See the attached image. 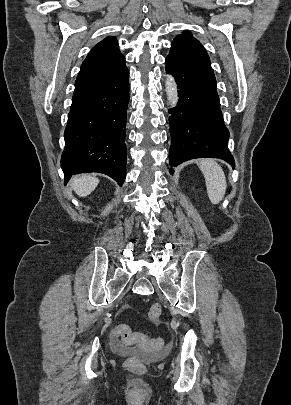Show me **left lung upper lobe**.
Masks as SVG:
<instances>
[{
    "label": "left lung upper lobe",
    "instance_id": "5c2ea615",
    "mask_svg": "<svg viewBox=\"0 0 291 405\" xmlns=\"http://www.w3.org/2000/svg\"><path fill=\"white\" fill-rule=\"evenodd\" d=\"M177 37L187 38L189 40H192V41L200 44V42L197 39H195L194 37H192V35L190 33H188V32H184L182 35H178Z\"/></svg>",
    "mask_w": 291,
    "mask_h": 405
}]
</instances>
